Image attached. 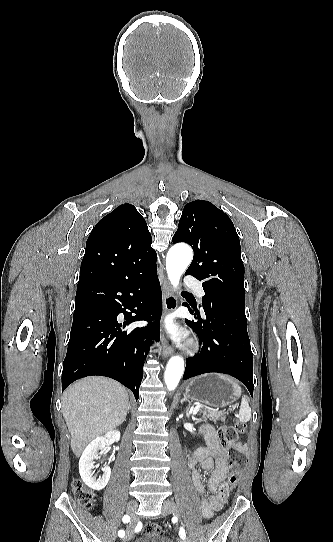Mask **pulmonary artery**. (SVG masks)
<instances>
[{
    "label": "pulmonary artery",
    "mask_w": 333,
    "mask_h": 542,
    "mask_svg": "<svg viewBox=\"0 0 333 542\" xmlns=\"http://www.w3.org/2000/svg\"><path fill=\"white\" fill-rule=\"evenodd\" d=\"M184 286L187 288H192L193 291H195L196 295H199V299L201 300L203 297L202 293V285L200 282L196 281V276L194 274H188L186 276V280L184 281Z\"/></svg>",
    "instance_id": "e3ab8cb5"
}]
</instances>
